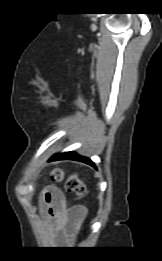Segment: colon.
Instances as JSON below:
<instances>
[{
    "instance_id": "obj_1",
    "label": "colon",
    "mask_w": 162,
    "mask_h": 261,
    "mask_svg": "<svg viewBox=\"0 0 162 261\" xmlns=\"http://www.w3.org/2000/svg\"><path fill=\"white\" fill-rule=\"evenodd\" d=\"M52 177L55 181H62L64 178V173L61 170L56 169L53 171ZM65 189L66 191L79 196L85 193V185L76 175L69 176L66 179Z\"/></svg>"
}]
</instances>
